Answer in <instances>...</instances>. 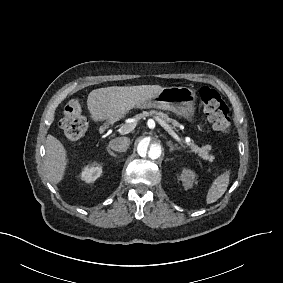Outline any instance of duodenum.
<instances>
[{
  "instance_id": "410a0bca",
  "label": "duodenum",
  "mask_w": 283,
  "mask_h": 283,
  "mask_svg": "<svg viewBox=\"0 0 283 283\" xmlns=\"http://www.w3.org/2000/svg\"><path fill=\"white\" fill-rule=\"evenodd\" d=\"M106 124H104L102 127H101V132H104L105 131V129H106Z\"/></svg>"
}]
</instances>
